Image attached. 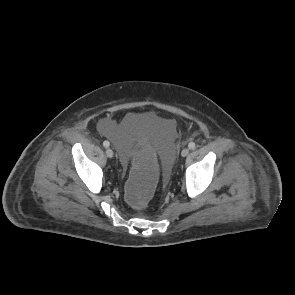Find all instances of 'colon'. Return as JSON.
<instances>
[{
  "label": "colon",
  "mask_w": 295,
  "mask_h": 295,
  "mask_svg": "<svg viewBox=\"0 0 295 295\" xmlns=\"http://www.w3.org/2000/svg\"><path fill=\"white\" fill-rule=\"evenodd\" d=\"M134 171L125 183V201L136 209L145 210L157 190V158L155 147L148 140H138L131 147Z\"/></svg>",
  "instance_id": "5ec220e1"
}]
</instances>
